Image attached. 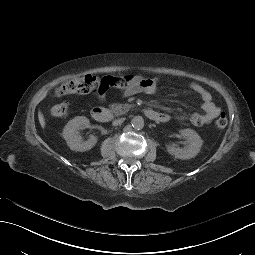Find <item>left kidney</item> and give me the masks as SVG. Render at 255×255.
Masks as SVG:
<instances>
[{
	"mask_svg": "<svg viewBox=\"0 0 255 255\" xmlns=\"http://www.w3.org/2000/svg\"><path fill=\"white\" fill-rule=\"evenodd\" d=\"M181 136L187 139V145L184 148H176L172 145H167V151L179 159H190L195 157L202 146V139L192 129L180 130Z\"/></svg>",
	"mask_w": 255,
	"mask_h": 255,
	"instance_id": "left-kidney-1",
	"label": "left kidney"
}]
</instances>
